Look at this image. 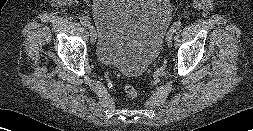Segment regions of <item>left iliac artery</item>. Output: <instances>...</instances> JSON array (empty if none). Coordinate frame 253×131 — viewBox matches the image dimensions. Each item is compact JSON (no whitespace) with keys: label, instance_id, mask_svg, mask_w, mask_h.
I'll return each mask as SVG.
<instances>
[{"label":"left iliac artery","instance_id":"obj_1","mask_svg":"<svg viewBox=\"0 0 253 131\" xmlns=\"http://www.w3.org/2000/svg\"><path fill=\"white\" fill-rule=\"evenodd\" d=\"M181 25H182L181 21H176L173 24L172 29L176 32L181 27Z\"/></svg>","mask_w":253,"mask_h":131}]
</instances>
